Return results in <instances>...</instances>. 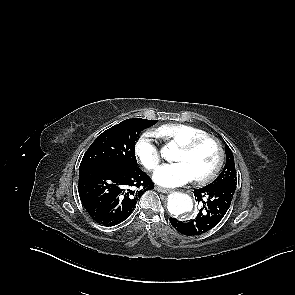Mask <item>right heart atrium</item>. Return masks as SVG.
Returning <instances> with one entry per match:
<instances>
[{
    "label": "right heart atrium",
    "instance_id": "obj_1",
    "mask_svg": "<svg viewBox=\"0 0 295 295\" xmlns=\"http://www.w3.org/2000/svg\"><path fill=\"white\" fill-rule=\"evenodd\" d=\"M135 155L141 165L148 171L158 167L161 161V154L155 144L154 132H145L140 136L135 145Z\"/></svg>",
    "mask_w": 295,
    "mask_h": 295
}]
</instances>
